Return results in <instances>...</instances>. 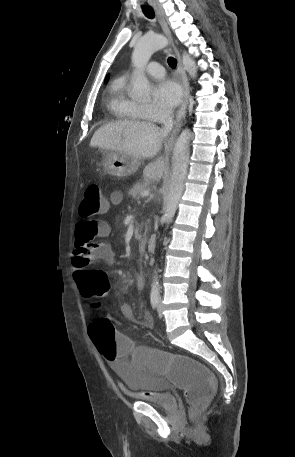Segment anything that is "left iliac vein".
Masks as SVG:
<instances>
[{
	"instance_id": "obj_1",
	"label": "left iliac vein",
	"mask_w": 295,
	"mask_h": 457,
	"mask_svg": "<svg viewBox=\"0 0 295 457\" xmlns=\"http://www.w3.org/2000/svg\"><path fill=\"white\" fill-rule=\"evenodd\" d=\"M157 312H158V316L160 318H162V303H161V299H159V302H158V306H157Z\"/></svg>"
}]
</instances>
